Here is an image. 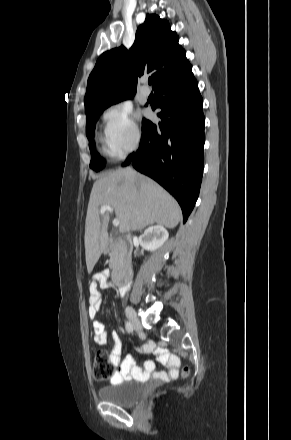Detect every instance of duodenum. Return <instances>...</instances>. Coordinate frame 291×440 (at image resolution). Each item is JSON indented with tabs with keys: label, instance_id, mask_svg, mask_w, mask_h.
<instances>
[{
	"label": "duodenum",
	"instance_id": "410a0bca",
	"mask_svg": "<svg viewBox=\"0 0 291 440\" xmlns=\"http://www.w3.org/2000/svg\"><path fill=\"white\" fill-rule=\"evenodd\" d=\"M127 253L121 255L112 269L111 277L116 285H129L132 278L131 248L132 243L126 241Z\"/></svg>",
	"mask_w": 291,
	"mask_h": 440
}]
</instances>
